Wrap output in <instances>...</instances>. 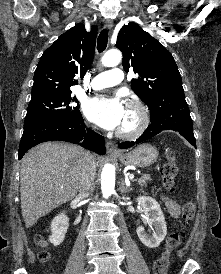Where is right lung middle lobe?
I'll return each instance as SVG.
<instances>
[{
	"mask_svg": "<svg viewBox=\"0 0 221 274\" xmlns=\"http://www.w3.org/2000/svg\"><path fill=\"white\" fill-rule=\"evenodd\" d=\"M74 103H79L77 99L71 97V93L44 96L31 99L24 124L52 117H63L70 120H80L82 115L79 107Z\"/></svg>",
	"mask_w": 221,
	"mask_h": 274,
	"instance_id": "dd1d6c3e",
	"label": "right lung middle lobe"
}]
</instances>
